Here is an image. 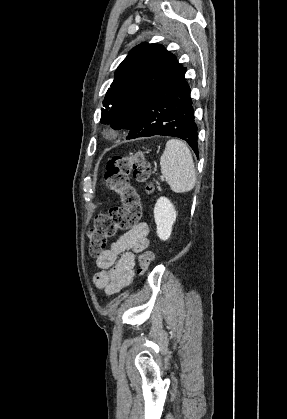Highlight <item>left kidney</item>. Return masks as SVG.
Segmentation results:
<instances>
[{"label": "left kidney", "instance_id": "left-kidney-1", "mask_svg": "<svg viewBox=\"0 0 287 419\" xmlns=\"http://www.w3.org/2000/svg\"><path fill=\"white\" fill-rule=\"evenodd\" d=\"M176 216V210L170 200L160 197L154 207V219L157 226L156 232L161 240L169 239Z\"/></svg>", "mask_w": 287, "mask_h": 419}]
</instances>
